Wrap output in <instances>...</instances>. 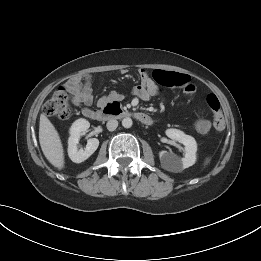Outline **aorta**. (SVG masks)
I'll return each mask as SVG.
<instances>
[{
    "label": "aorta",
    "instance_id": "1",
    "mask_svg": "<svg viewBox=\"0 0 261 261\" xmlns=\"http://www.w3.org/2000/svg\"><path fill=\"white\" fill-rule=\"evenodd\" d=\"M132 124H133V121H132V119L129 118V117H126V118H124V119L122 120V126H123L124 128H130V127L132 126Z\"/></svg>",
    "mask_w": 261,
    "mask_h": 261
}]
</instances>
